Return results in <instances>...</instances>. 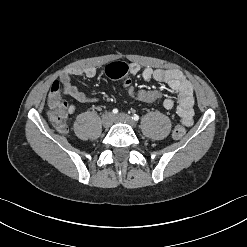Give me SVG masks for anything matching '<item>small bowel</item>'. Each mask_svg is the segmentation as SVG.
<instances>
[{"label": "small bowel", "instance_id": "c3829d8e", "mask_svg": "<svg viewBox=\"0 0 247 247\" xmlns=\"http://www.w3.org/2000/svg\"><path fill=\"white\" fill-rule=\"evenodd\" d=\"M96 73L94 68H72L64 72L60 76L59 81H56L52 85V88L57 86L61 93L69 95L80 102L95 101L96 98L87 96L73 84L72 77L93 78L96 76ZM128 74L132 76L140 74L144 81L155 80L168 84L170 89L178 93V98L176 101L171 98H166L163 101L164 108L167 110L176 108L183 124L186 126L192 124L194 115L193 88L181 71L176 69H152L149 67L141 69L140 65L137 63H131L128 66ZM74 111L75 107L70 105L68 107V112L74 113Z\"/></svg>", "mask_w": 247, "mask_h": 247}]
</instances>
